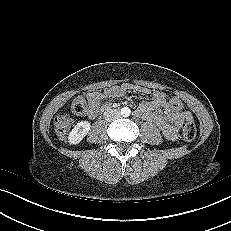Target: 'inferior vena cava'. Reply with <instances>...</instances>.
I'll use <instances>...</instances> for the list:
<instances>
[{
	"label": "inferior vena cava",
	"mask_w": 231,
	"mask_h": 231,
	"mask_svg": "<svg viewBox=\"0 0 231 231\" xmlns=\"http://www.w3.org/2000/svg\"><path fill=\"white\" fill-rule=\"evenodd\" d=\"M120 117V112L117 109H109L104 112V118L107 121H112Z\"/></svg>",
	"instance_id": "602c4592"
}]
</instances>
